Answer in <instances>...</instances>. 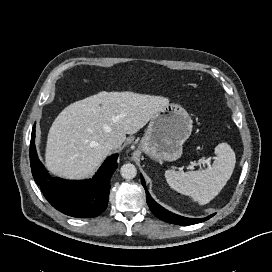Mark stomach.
<instances>
[{"instance_id":"obj_1","label":"stomach","mask_w":272,"mask_h":272,"mask_svg":"<svg viewBox=\"0 0 272 272\" xmlns=\"http://www.w3.org/2000/svg\"><path fill=\"white\" fill-rule=\"evenodd\" d=\"M192 119L179 104H168L151 118L140 148L152 159L174 161L182 155V145L192 132Z\"/></svg>"}]
</instances>
